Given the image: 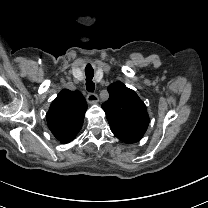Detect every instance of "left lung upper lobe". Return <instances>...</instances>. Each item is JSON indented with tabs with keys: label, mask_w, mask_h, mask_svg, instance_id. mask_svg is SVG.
<instances>
[{
	"label": "left lung upper lobe",
	"mask_w": 208,
	"mask_h": 208,
	"mask_svg": "<svg viewBox=\"0 0 208 208\" xmlns=\"http://www.w3.org/2000/svg\"><path fill=\"white\" fill-rule=\"evenodd\" d=\"M109 99L102 104L112 129L144 134L149 124V116L144 102L132 89L122 82L108 87Z\"/></svg>",
	"instance_id": "left-lung-upper-lobe-1"
}]
</instances>
